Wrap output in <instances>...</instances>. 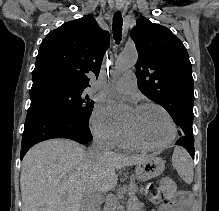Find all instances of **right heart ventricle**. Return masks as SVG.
<instances>
[{
	"mask_svg": "<svg viewBox=\"0 0 219 211\" xmlns=\"http://www.w3.org/2000/svg\"><path fill=\"white\" fill-rule=\"evenodd\" d=\"M118 144L126 149H138L137 146H135L132 142L129 141V139L126 137L124 131L121 134V137L119 139Z\"/></svg>",
	"mask_w": 219,
	"mask_h": 211,
	"instance_id": "e07e8e85",
	"label": "right heart ventricle"
}]
</instances>
